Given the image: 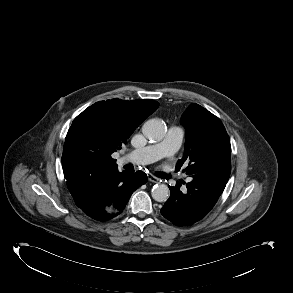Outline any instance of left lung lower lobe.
I'll return each instance as SVG.
<instances>
[{
  "mask_svg": "<svg viewBox=\"0 0 293 293\" xmlns=\"http://www.w3.org/2000/svg\"><path fill=\"white\" fill-rule=\"evenodd\" d=\"M227 182L211 180L210 177H193L187 189L181 184L169 186V199L161 214L179 226L191 225L202 219L215 205Z\"/></svg>",
  "mask_w": 293,
  "mask_h": 293,
  "instance_id": "0a47b994",
  "label": "left lung lower lobe"
}]
</instances>
